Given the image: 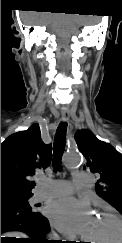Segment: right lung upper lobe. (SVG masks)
I'll return each mask as SVG.
<instances>
[{
    "mask_svg": "<svg viewBox=\"0 0 122 243\" xmlns=\"http://www.w3.org/2000/svg\"><path fill=\"white\" fill-rule=\"evenodd\" d=\"M52 146L41 140L38 124L10 135L1 144V199L32 196L31 177L50 165Z\"/></svg>",
    "mask_w": 122,
    "mask_h": 243,
    "instance_id": "cb5924a9",
    "label": "right lung upper lobe"
}]
</instances>
